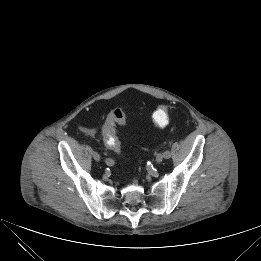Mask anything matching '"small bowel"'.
I'll return each instance as SVG.
<instances>
[{"label": "small bowel", "mask_w": 261, "mask_h": 261, "mask_svg": "<svg viewBox=\"0 0 261 261\" xmlns=\"http://www.w3.org/2000/svg\"><path fill=\"white\" fill-rule=\"evenodd\" d=\"M84 133H86L87 135L92 136L94 134V131L91 129H83Z\"/></svg>", "instance_id": "1"}]
</instances>
